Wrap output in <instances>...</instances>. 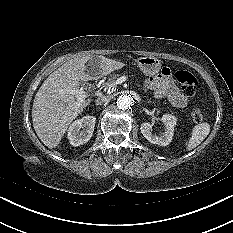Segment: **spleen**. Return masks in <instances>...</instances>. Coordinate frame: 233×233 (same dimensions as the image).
Listing matches in <instances>:
<instances>
[{
    "instance_id": "obj_1",
    "label": "spleen",
    "mask_w": 233,
    "mask_h": 233,
    "mask_svg": "<svg viewBox=\"0 0 233 233\" xmlns=\"http://www.w3.org/2000/svg\"><path fill=\"white\" fill-rule=\"evenodd\" d=\"M210 133V124L207 122H203L197 124L193 127L191 137L187 144V151H191L196 148Z\"/></svg>"
}]
</instances>
